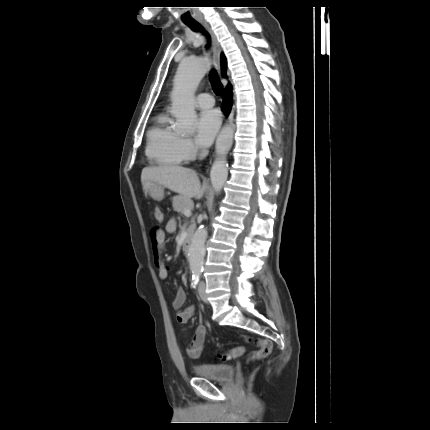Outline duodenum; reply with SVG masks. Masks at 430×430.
I'll use <instances>...</instances> for the list:
<instances>
[{
	"instance_id": "duodenum-1",
	"label": "duodenum",
	"mask_w": 430,
	"mask_h": 430,
	"mask_svg": "<svg viewBox=\"0 0 430 430\" xmlns=\"http://www.w3.org/2000/svg\"><path fill=\"white\" fill-rule=\"evenodd\" d=\"M191 249V237L187 235L183 241L182 250L185 255H189Z\"/></svg>"
}]
</instances>
